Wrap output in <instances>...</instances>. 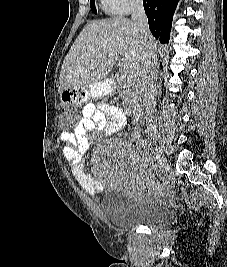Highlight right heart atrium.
I'll return each mask as SVG.
<instances>
[{
    "instance_id": "1",
    "label": "right heart atrium",
    "mask_w": 227,
    "mask_h": 267,
    "mask_svg": "<svg viewBox=\"0 0 227 267\" xmlns=\"http://www.w3.org/2000/svg\"><path fill=\"white\" fill-rule=\"evenodd\" d=\"M118 14L125 15L142 6L143 0H104Z\"/></svg>"
}]
</instances>
